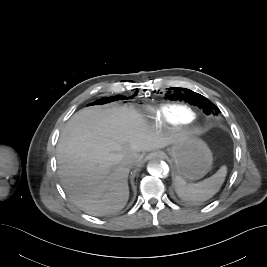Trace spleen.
Here are the masks:
<instances>
[{
  "label": "spleen",
  "mask_w": 267,
  "mask_h": 267,
  "mask_svg": "<svg viewBox=\"0 0 267 267\" xmlns=\"http://www.w3.org/2000/svg\"><path fill=\"white\" fill-rule=\"evenodd\" d=\"M227 174V167L222 166L214 175L193 184L176 176L174 185L177 195L185 201H204L214 196L221 188Z\"/></svg>",
  "instance_id": "3e777b00"
}]
</instances>
